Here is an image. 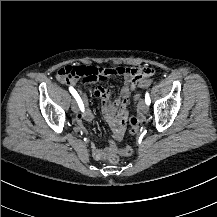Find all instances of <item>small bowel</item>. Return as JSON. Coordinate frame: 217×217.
Returning a JSON list of instances; mask_svg holds the SVG:
<instances>
[{"instance_id":"small-bowel-1","label":"small bowel","mask_w":217,"mask_h":217,"mask_svg":"<svg viewBox=\"0 0 217 217\" xmlns=\"http://www.w3.org/2000/svg\"><path fill=\"white\" fill-rule=\"evenodd\" d=\"M110 73H105L101 76L103 81H108V76ZM147 80L146 77H136L132 75H126L123 86L120 90L119 100L108 103L109 90L103 87H96L93 91V96L99 100L103 105V112L106 116V120L112 128L114 140H110L106 148H100L96 143H90V150L92 157L95 160H104L110 153L109 146L113 142H118L123 138L126 124L129 119V108L128 101L132 89V84L135 81ZM60 82H67L69 85H76V80L67 81L64 79H59ZM86 83V82H85ZM94 119V114L91 111H87L85 114H78L75 121L78 125H82L84 121H92Z\"/></svg>"}]
</instances>
